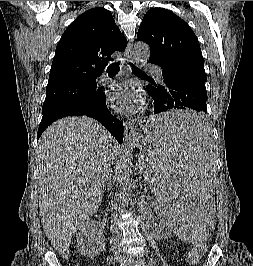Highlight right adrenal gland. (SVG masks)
Listing matches in <instances>:
<instances>
[{
    "label": "right adrenal gland",
    "mask_w": 253,
    "mask_h": 266,
    "mask_svg": "<svg viewBox=\"0 0 253 266\" xmlns=\"http://www.w3.org/2000/svg\"><path fill=\"white\" fill-rule=\"evenodd\" d=\"M110 186H111V182L109 181V182H108V186H107V189H108V190H109Z\"/></svg>",
    "instance_id": "2a0ac1e0"
}]
</instances>
